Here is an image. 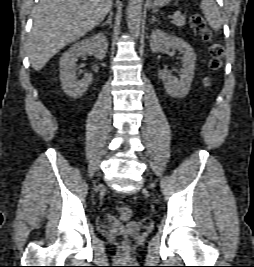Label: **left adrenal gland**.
<instances>
[{
  "mask_svg": "<svg viewBox=\"0 0 254 267\" xmlns=\"http://www.w3.org/2000/svg\"><path fill=\"white\" fill-rule=\"evenodd\" d=\"M154 22H158L155 16H152L151 23L153 24Z\"/></svg>",
  "mask_w": 254,
  "mask_h": 267,
  "instance_id": "a2214340",
  "label": "left adrenal gland"
}]
</instances>
